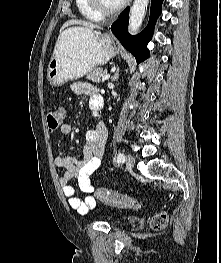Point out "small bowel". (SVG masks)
<instances>
[{
    "mask_svg": "<svg viewBox=\"0 0 221 263\" xmlns=\"http://www.w3.org/2000/svg\"><path fill=\"white\" fill-rule=\"evenodd\" d=\"M72 90L78 96L89 97L92 108L102 100L97 87L90 83L75 82L72 84ZM59 130L66 135L71 133L72 127L68 123H63ZM106 139V125L98 122L93 129L86 133V147L81 159L60 155H56L54 158L55 165L63 170L58 178L62 193L70 208L79 214H87L96 208V199L93 195L94 187L90 177L101 164ZM72 179H76L80 190L86 193L83 199L75 195L74 187L69 184Z\"/></svg>",
    "mask_w": 221,
    "mask_h": 263,
    "instance_id": "small-bowel-1",
    "label": "small bowel"
}]
</instances>
